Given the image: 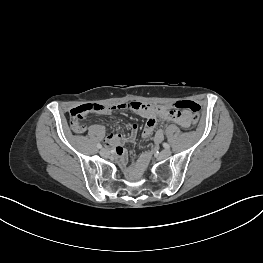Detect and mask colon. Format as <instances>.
<instances>
[{"mask_svg": "<svg viewBox=\"0 0 263 263\" xmlns=\"http://www.w3.org/2000/svg\"><path fill=\"white\" fill-rule=\"evenodd\" d=\"M177 110L186 111L190 113V118L193 122L199 119L200 105L192 100H179L174 104ZM103 109L100 104L89 103L75 107L70 112V120L72 128L77 133L85 131V126L80 123L87 114L92 112H99Z\"/></svg>", "mask_w": 263, "mask_h": 263, "instance_id": "5ec220e1", "label": "colon"}]
</instances>
